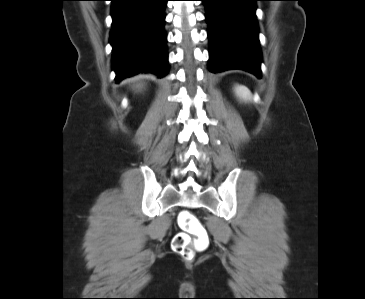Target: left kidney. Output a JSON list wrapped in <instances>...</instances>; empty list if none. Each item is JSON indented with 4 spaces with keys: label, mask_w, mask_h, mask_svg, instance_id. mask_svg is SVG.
<instances>
[{
    "label": "left kidney",
    "mask_w": 365,
    "mask_h": 299,
    "mask_svg": "<svg viewBox=\"0 0 365 299\" xmlns=\"http://www.w3.org/2000/svg\"><path fill=\"white\" fill-rule=\"evenodd\" d=\"M234 91L236 96L242 101H249L252 98L248 88L243 85H237Z\"/></svg>",
    "instance_id": "obj_1"
}]
</instances>
